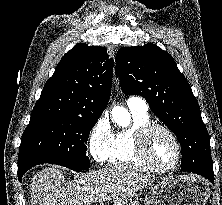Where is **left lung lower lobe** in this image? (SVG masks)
I'll return each instance as SVG.
<instances>
[{"label": "left lung lower lobe", "mask_w": 222, "mask_h": 205, "mask_svg": "<svg viewBox=\"0 0 222 205\" xmlns=\"http://www.w3.org/2000/svg\"><path fill=\"white\" fill-rule=\"evenodd\" d=\"M212 167L213 166L210 165L207 160L201 158L196 153L187 152L182 155L181 168L183 171L193 172L199 175L206 173V176L204 177L209 179L211 182H213L214 180L213 179L214 173Z\"/></svg>", "instance_id": "1"}]
</instances>
